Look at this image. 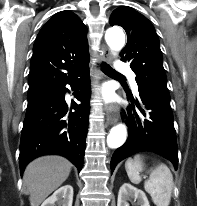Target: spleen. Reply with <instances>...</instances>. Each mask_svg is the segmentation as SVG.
Wrapping results in <instances>:
<instances>
[{
    "label": "spleen",
    "mask_w": 197,
    "mask_h": 206,
    "mask_svg": "<svg viewBox=\"0 0 197 206\" xmlns=\"http://www.w3.org/2000/svg\"><path fill=\"white\" fill-rule=\"evenodd\" d=\"M125 169L130 181L139 184L142 180L140 172L143 170V157L136 155L125 162ZM173 176L170 169L160 163L151 170L149 179L144 183V189L150 194L156 206H169L173 190Z\"/></svg>",
    "instance_id": "1"
}]
</instances>
